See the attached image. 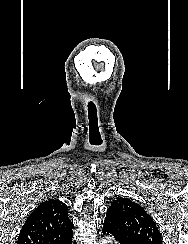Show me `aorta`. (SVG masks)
Listing matches in <instances>:
<instances>
[{"instance_id":"762f6f07","label":"aorta","mask_w":188,"mask_h":244,"mask_svg":"<svg viewBox=\"0 0 188 244\" xmlns=\"http://www.w3.org/2000/svg\"><path fill=\"white\" fill-rule=\"evenodd\" d=\"M100 244H112V240L109 237L102 238Z\"/></svg>"}]
</instances>
